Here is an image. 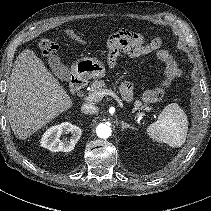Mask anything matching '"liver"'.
I'll list each match as a JSON object with an SVG mask.
<instances>
[{"instance_id": "liver-1", "label": "liver", "mask_w": 211, "mask_h": 211, "mask_svg": "<svg viewBox=\"0 0 211 211\" xmlns=\"http://www.w3.org/2000/svg\"><path fill=\"white\" fill-rule=\"evenodd\" d=\"M71 106L70 96L43 62L32 50H23L12 68L7 94V117L15 136L27 139Z\"/></svg>"}]
</instances>
